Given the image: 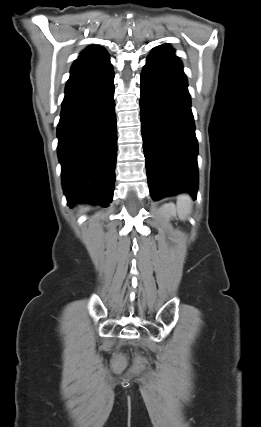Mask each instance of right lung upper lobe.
<instances>
[{"label":"right lung upper lobe","instance_id":"right-lung-upper-lobe-1","mask_svg":"<svg viewBox=\"0 0 261 427\" xmlns=\"http://www.w3.org/2000/svg\"><path fill=\"white\" fill-rule=\"evenodd\" d=\"M110 65L109 55L104 48L88 47L72 65L68 82L97 73Z\"/></svg>","mask_w":261,"mask_h":427}]
</instances>
